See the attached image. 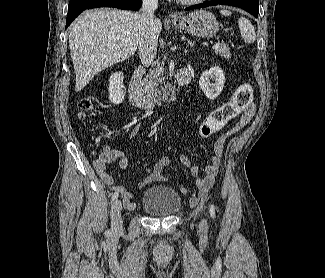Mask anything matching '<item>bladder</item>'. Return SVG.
<instances>
[{
  "label": "bladder",
  "mask_w": 325,
  "mask_h": 278,
  "mask_svg": "<svg viewBox=\"0 0 325 278\" xmlns=\"http://www.w3.org/2000/svg\"><path fill=\"white\" fill-rule=\"evenodd\" d=\"M179 193L163 185H154L145 190L141 207L152 217H167L175 214L181 208Z\"/></svg>",
  "instance_id": "obj_1"
}]
</instances>
